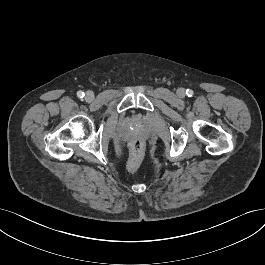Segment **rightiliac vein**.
Listing matches in <instances>:
<instances>
[{"label":"right iliac vein","instance_id":"right-iliac-vein-1","mask_svg":"<svg viewBox=\"0 0 265 265\" xmlns=\"http://www.w3.org/2000/svg\"><path fill=\"white\" fill-rule=\"evenodd\" d=\"M85 100L87 102H92L94 100V95L92 92L88 91L85 95Z\"/></svg>","mask_w":265,"mask_h":265}]
</instances>
